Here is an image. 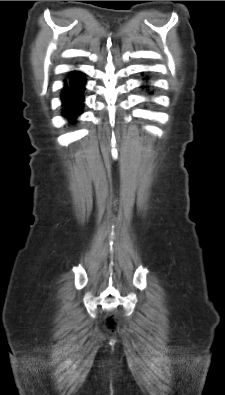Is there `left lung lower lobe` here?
<instances>
[{"mask_svg": "<svg viewBox=\"0 0 225 395\" xmlns=\"http://www.w3.org/2000/svg\"><path fill=\"white\" fill-rule=\"evenodd\" d=\"M143 80H145V82L147 83V81H148V78L146 77V78H144ZM147 88L148 86L147 85H142V88ZM151 94V93H150Z\"/></svg>", "mask_w": 225, "mask_h": 395, "instance_id": "left-lung-lower-lobe-1", "label": "left lung lower lobe"}]
</instances>
